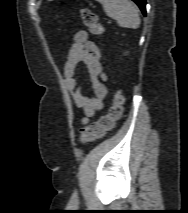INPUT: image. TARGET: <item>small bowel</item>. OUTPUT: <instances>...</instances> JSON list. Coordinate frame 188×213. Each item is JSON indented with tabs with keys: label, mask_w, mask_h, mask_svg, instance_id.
<instances>
[{
	"label": "small bowel",
	"mask_w": 188,
	"mask_h": 213,
	"mask_svg": "<svg viewBox=\"0 0 188 213\" xmlns=\"http://www.w3.org/2000/svg\"><path fill=\"white\" fill-rule=\"evenodd\" d=\"M101 52L98 46L89 40L86 31H78L74 36V42L68 50V59L64 65L63 74L65 85L68 89L73 103L82 108L84 117L81 124H88L96 112L104 107V99L107 95L105 85L106 75L101 64ZM86 65L91 78L93 96L85 95L76 80V69L78 64Z\"/></svg>",
	"instance_id": "c3829d8e"
}]
</instances>
